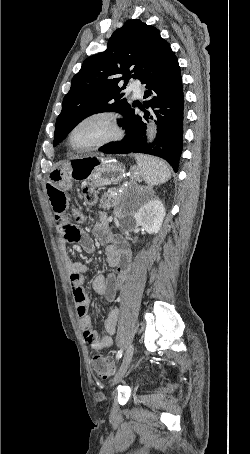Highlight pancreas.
<instances>
[{"mask_svg":"<svg viewBox=\"0 0 250 454\" xmlns=\"http://www.w3.org/2000/svg\"><path fill=\"white\" fill-rule=\"evenodd\" d=\"M118 202V194L115 189L108 190L105 192L100 200L99 207L103 209H110L116 206ZM102 216H105L104 214Z\"/></svg>","mask_w":250,"mask_h":454,"instance_id":"obj_1","label":"pancreas"}]
</instances>
